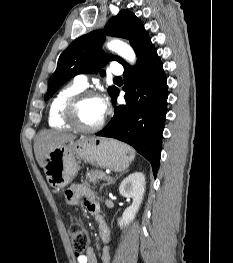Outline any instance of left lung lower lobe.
Returning <instances> with one entry per match:
<instances>
[{"mask_svg":"<svg viewBox=\"0 0 233 263\" xmlns=\"http://www.w3.org/2000/svg\"><path fill=\"white\" fill-rule=\"evenodd\" d=\"M137 57L134 67L124 66L126 104L115 109L111 121L96 135L115 138L133 146L150 161L156 176L167 112V78L151 41ZM118 94L119 90L113 95V102Z\"/></svg>","mask_w":233,"mask_h":263,"instance_id":"obj_1","label":"left lung lower lobe"}]
</instances>
